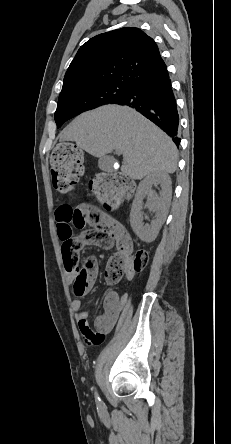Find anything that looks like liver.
Here are the masks:
<instances>
[{
    "label": "liver",
    "mask_w": 231,
    "mask_h": 444,
    "mask_svg": "<svg viewBox=\"0 0 231 444\" xmlns=\"http://www.w3.org/2000/svg\"><path fill=\"white\" fill-rule=\"evenodd\" d=\"M60 141H74L101 159L113 150L123 154L121 171L137 180L177 168L178 151L171 138L127 106L105 105L82 113L61 132Z\"/></svg>",
    "instance_id": "1"
}]
</instances>
